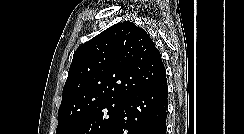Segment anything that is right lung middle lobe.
I'll use <instances>...</instances> for the list:
<instances>
[{"mask_svg":"<svg viewBox=\"0 0 244 134\" xmlns=\"http://www.w3.org/2000/svg\"><path fill=\"white\" fill-rule=\"evenodd\" d=\"M124 102V99L105 100L58 120L56 134H104L119 116Z\"/></svg>","mask_w":244,"mask_h":134,"instance_id":"right-lung-middle-lobe-1","label":"right lung middle lobe"}]
</instances>
